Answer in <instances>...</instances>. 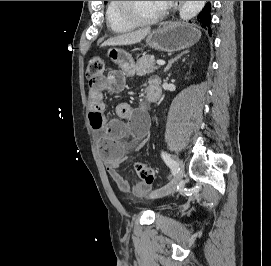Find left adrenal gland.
<instances>
[{
  "label": "left adrenal gland",
  "instance_id": "a2214340",
  "mask_svg": "<svg viewBox=\"0 0 271 266\" xmlns=\"http://www.w3.org/2000/svg\"><path fill=\"white\" fill-rule=\"evenodd\" d=\"M189 51H184L181 54H179L178 56H176L175 58H173L172 60H170L166 66V68L164 69V72H168L169 69L171 68L172 64L174 62H176L179 58H181L184 54H187Z\"/></svg>",
  "mask_w": 271,
  "mask_h": 266
}]
</instances>
